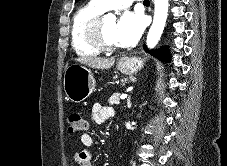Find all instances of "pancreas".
I'll use <instances>...</instances> for the list:
<instances>
[{
    "mask_svg": "<svg viewBox=\"0 0 227 166\" xmlns=\"http://www.w3.org/2000/svg\"><path fill=\"white\" fill-rule=\"evenodd\" d=\"M119 97H120V95L118 94V93H116V94H114L113 96H111L110 98H109V104L110 105H114V104H118L119 103Z\"/></svg>",
    "mask_w": 227,
    "mask_h": 166,
    "instance_id": "1",
    "label": "pancreas"
}]
</instances>
